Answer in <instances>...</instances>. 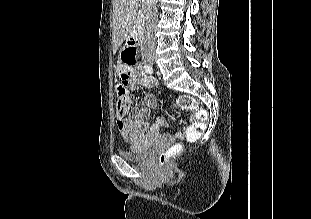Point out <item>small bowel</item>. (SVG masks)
I'll return each instance as SVG.
<instances>
[{
    "label": "small bowel",
    "mask_w": 311,
    "mask_h": 219,
    "mask_svg": "<svg viewBox=\"0 0 311 219\" xmlns=\"http://www.w3.org/2000/svg\"><path fill=\"white\" fill-rule=\"evenodd\" d=\"M118 75L126 76L130 90H135L138 85L153 87L156 80L145 74L138 66H127L121 63L116 64ZM141 107H132L127 119L117 121L118 131L125 140L131 144L144 142L158 137L162 130L168 126V121L164 117H157L153 123H148L150 109L157 106V99L152 94H146L142 98Z\"/></svg>",
    "instance_id": "c3829d8e"
}]
</instances>
